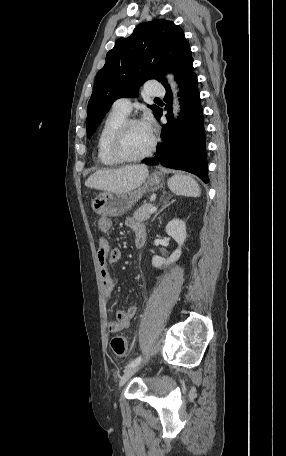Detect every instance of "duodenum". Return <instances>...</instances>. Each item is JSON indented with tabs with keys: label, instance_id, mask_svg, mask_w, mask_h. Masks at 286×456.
I'll return each mask as SVG.
<instances>
[{
	"label": "duodenum",
	"instance_id": "duodenum-1",
	"mask_svg": "<svg viewBox=\"0 0 286 456\" xmlns=\"http://www.w3.org/2000/svg\"><path fill=\"white\" fill-rule=\"evenodd\" d=\"M146 242V235L141 234L135 239L136 248H142Z\"/></svg>",
	"mask_w": 286,
	"mask_h": 456
}]
</instances>
